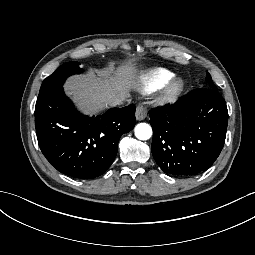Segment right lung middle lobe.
<instances>
[{
	"mask_svg": "<svg viewBox=\"0 0 255 255\" xmlns=\"http://www.w3.org/2000/svg\"><path fill=\"white\" fill-rule=\"evenodd\" d=\"M83 71L78 62H67L61 65L53 74L47 77L40 88L38 98L55 90L62 89L66 78Z\"/></svg>",
	"mask_w": 255,
	"mask_h": 255,
	"instance_id": "dd1d6c3e",
	"label": "right lung middle lobe"
}]
</instances>
